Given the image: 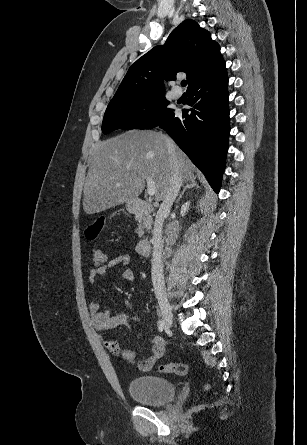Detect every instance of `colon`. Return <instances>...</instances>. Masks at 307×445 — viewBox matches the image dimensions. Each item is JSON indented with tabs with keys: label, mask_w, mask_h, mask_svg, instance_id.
Here are the masks:
<instances>
[{
	"label": "colon",
	"mask_w": 307,
	"mask_h": 445,
	"mask_svg": "<svg viewBox=\"0 0 307 445\" xmlns=\"http://www.w3.org/2000/svg\"><path fill=\"white\" fill-rule=\"evenodd\" d=\"M107 222V219L102 217L93 222L86 230V236L88 239H95L103 230ZM91 259L96 268L104 266L107 262V252L101 247H93L90 251ZM161 373H171L176 375H185L188 371V367L184 363H168L159 367ZM207 387V386H206Z\"/></svg>",
	"instance_id": "colon-1"
}]
</instances>
